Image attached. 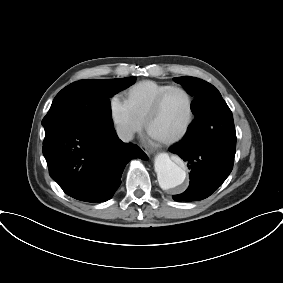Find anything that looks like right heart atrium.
<instances>
[{
    "label": "right heart atrium",
    "mask_w": 283,
    "mask_h": 283,
    "mask_svg": "<svg viewBox=\"0 0 283 283\" xmlns=\"http://www.w3.org/2000/svg\"><path fill=\"white\" fill-rule=\"evenodd\" d=\"M109 114L118 137L123 141L132 140L142 129V122L134 116L125 100L117 95L109 101Z\"/></svg>",
    "instance_id": "right-heart-atrium-1"
}]
</instances>
